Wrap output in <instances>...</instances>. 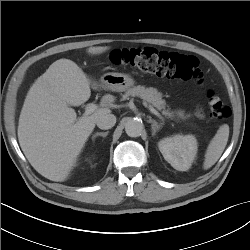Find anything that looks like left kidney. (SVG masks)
Returning <instances> with one entry per match:
<instances>
[{
    "label": "left kidney",
    "mask_w": 250,
    "mask_h": 250,
    "mask_svg": "<svg viewBox=\"0 0 250 250\" xmlns=\"http://www.w3.org/2000/svg\"><path fill=\"white\" fill-rule=\"evenodd\" d=\"M164 159L178 171H187L197 154V140L193 135H174L159 141Z\"/></svg>",
    "instance_id": "left-kidney-1"
}]
</instances>
